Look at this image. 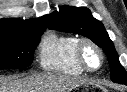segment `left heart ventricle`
Masks as SVG:
<instances>
[{"mask_svg":"<svg viewBox=\"0 0 127 92\" xmlns=\"http://www.w3.org/2000/svg\"><path fill=\"white\" fill-rule=\"evenodd\" d=\"M85 61L91 68H97L100 63L99 54L91 47H86L84 51Z\"/></svg>","mask_w":127,"mask_h":92,"instance_id":"b2bd125f","label":"left heart ventricle"}]
</instances>
